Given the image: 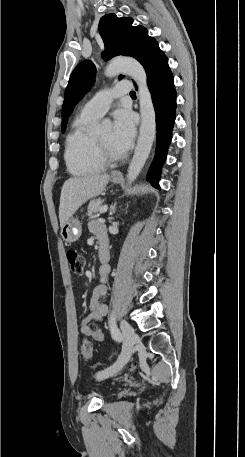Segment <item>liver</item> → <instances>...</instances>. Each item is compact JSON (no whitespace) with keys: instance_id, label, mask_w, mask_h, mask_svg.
<instances>
[{"instance_id":"1","label":"liver","mask_w":245,"mask_h":457,"mask_svg":"<svg viewBox=\"0 0 245 457\" xmlns=\"http://www.w3.org/2000/svg\"><path fill=\"white\" fill-rule=\"evenodd\" d=\"M110 174H88V176H73L65 180L60 196L59 218L60 226H63L66 220L76 212L77 208L93 198L101 194L108 184Z\"/></svg>"}]
</instances>
